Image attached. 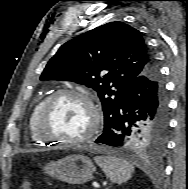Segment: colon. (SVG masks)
<instances>
[{
  "label": "colon",
  "mask_w": 188,
  "mask_h": 189,
  "mask_svg": "<svg viewBox=\"0 0 188 189\" xmlns=\"http://www.w3.org/2000/svg\"><path fill=\"white\" fill-rule=\"evenodd\" d=\"M18 189H32L31 182L29 181V179L24 178L21 184L19 185Z\"/></svg>",
  "instance_id": "obj_1"
}]
</instances>
